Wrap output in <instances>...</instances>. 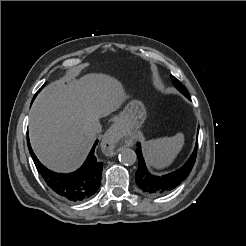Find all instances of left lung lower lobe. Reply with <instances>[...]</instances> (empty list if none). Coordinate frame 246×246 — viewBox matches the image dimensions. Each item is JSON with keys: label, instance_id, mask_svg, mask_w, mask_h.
<instances>
[{"label": "left lung lower lobe", "instance_id": "0a47b994", "mask_svg": "<svg viewBox=\"0 0 246 246\" xmlns=\"http://www.w3.org/2000/svg\"><path fill=\"white\" fill-rule=\"evenodd\" d=\"M190 99V96L187 97ZM197 147H198V138L196 142L195 149L191 154L188 161L178 170L164 175V176H154L151 175L146 168L140 143L137 144L136 154L138 156V169L136 171V183L144 192L151 195H161L165 194L184 181L189 175L190 171L193 168L195 163L196 155H197Z\"/></svg>", "mask_w": 246, "mask_h": 246}]
</instances>
